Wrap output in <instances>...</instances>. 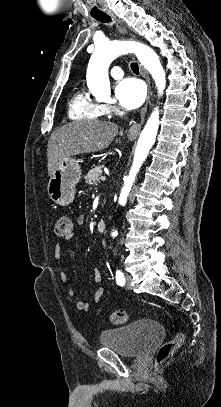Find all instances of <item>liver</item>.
<instances>
[{"label":"liver","mask_w":221,"mask_h":407,"mask_svg":"<svg viewBox=\"0 0 221 407\" xmlns=\"http://www.w3.org/2000/svg\"><path fill=\"white\" fill-rule=\"evenodd\" d=\"M118 125L105 121H76L56 129L47 145V168L51 177L66 158L99 152L107 148L118 134Z\"/></svg>","instance_id":"1"}]
</instances>
